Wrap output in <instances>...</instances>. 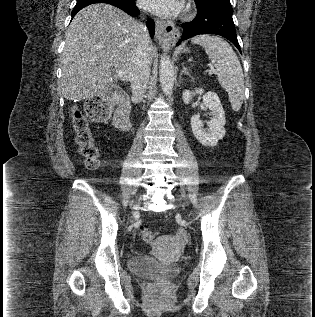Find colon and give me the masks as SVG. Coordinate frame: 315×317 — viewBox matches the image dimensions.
<instances>
[{
    "instance_id": "1",
    "label": "colon",
    "mask_w": 315,
    "mask_h": 317,
    "mask_svg": "<svg viewBox=\"0 0 315 317\" xmlns=\"http://www.w3.org/2000/svg\"><path fill=\"white\" fill-rule=\"evenodd\" d=\"M111 112V102L108 94H99L91 97L85 106V114L77 109L72 111V128L85 165L89 169H95L99 165V150L95 144L93 133L89 127L87 117L97 121L107 119ZM141 238L146 243H152L155 233L147 228L141 229ZM154 295L159 297L161 291L156 289Z\"/></svg>"
}]
</instances>
